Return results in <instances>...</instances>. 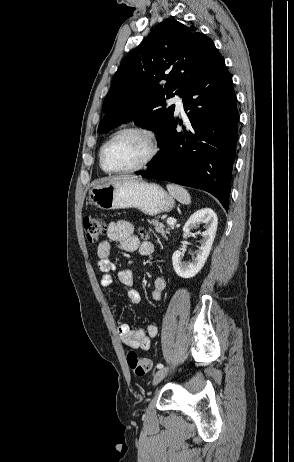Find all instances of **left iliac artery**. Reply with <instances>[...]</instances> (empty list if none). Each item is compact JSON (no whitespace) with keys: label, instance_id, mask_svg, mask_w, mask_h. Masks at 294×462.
Listing matches in <instances>:
<instances>
[{"label":"left iliac artery","instance_id":"left-iliac-artery-1","mask_svg":"<svg viewBox=\"0 0 294 462\" xmlns=\"http://www.w3.org/2000/svg\"><path fill=\"white\" fill-rule=\"evenodd\" d=\"M156 367H157L158 369H164V365H163V364H161V363L157 364V366H156Z\"/></svg>","mask_w":294,"mask_h":462}]
</instances>
